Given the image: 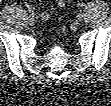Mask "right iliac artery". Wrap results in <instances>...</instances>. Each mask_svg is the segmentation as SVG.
Segmentation results:
<instances>
[{
	"label": "right iliac artery",
	"mask_w": 111,
	"mask_h": 106,
	"mask_svg": "<svg viewBox=\"0 0 111 106\" xmlns=\"http://www.w3.org/2000/svg\"><path fill=\"white\" fill-rule=\"evenodd\" d=\"M28 11H29L30 13H33V12H34L33 7H28Z\"/></svg>",
	"instance_id": "1"
}]
</instances>
